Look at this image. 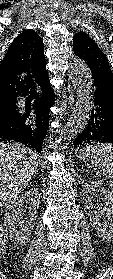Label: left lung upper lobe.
<instances>
[{
	"instance_id": "5c2ea615",
	"label": "left lung upper lobe",
	"mask_w": 113,
	"mask_h": 279,
	"mask_svg": "<svg viewBox=\"0 0 113 279\" xmlns=\"http://www.w3.org/2000/svg\"><path fill=\"white\" fill-rule=\"evenodd\" d=\"M73 50L76 56L86 62L92 72V76L96 75L113 84V73L108 59L88 34L82 31L75 34L73 37Z\"/></svg>"
}]
</instances>
